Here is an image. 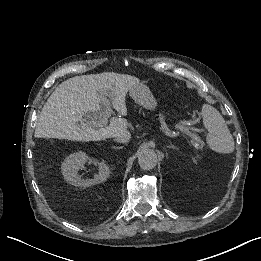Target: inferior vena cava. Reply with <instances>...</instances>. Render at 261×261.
I'll return each instance as SVG.
<instances>
[{"mask_svg": "<svg viewBox=\"0 0 261 261\" xmlns=\"http://www.w3.org/2000/svg\"><path fill=\"white\" fill-rule=\"evenodd\" d=\"M131 138L129 133H124L118 137H115V140L119 143H128Z\"/></svg>", "mask_w": 261, "mask_h": 261, "instance_id": "1", "label": "inferior vena cava"}]
</instances>
